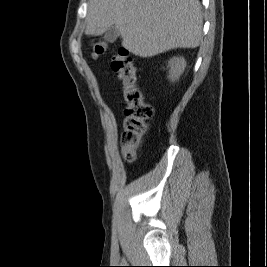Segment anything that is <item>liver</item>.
Returning <instances> with one entry per match:
<instances>
[{"label": "liver", "mask_w": 267, "mask_h": 267, "mask_svg": "<svg viewBox=\"0 0 267 267\" xmlns=\"http://www.w3.org/2000/svg\"><path fill=\"white\" fill-rule=\"evenodd\" d=\"M113 25L122 46L142 58L202 41L198 0H89L85 34L99 36Z\"/></svg>", "instance_id": "1"}]
</instances>
